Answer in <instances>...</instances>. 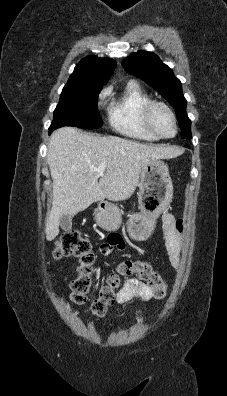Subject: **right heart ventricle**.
I'll use <instances>...</instances> for the list:
<instances>
[{
  "label": "right heart ventricle",
  "instance_id": "obj_1",
  "mask_svg": "<svg viewBox=\"0 0 227 396\" xmlns=\"http://www.w3.org/2000/svg\"><path fill=\"white\" fill-rule=\"evenodd\" d=\"M151 100L150 96L134 81L114 97L108 107L111 127L119 134L137 140L156 141L159 138L151 133L143 121V110Z\"/></svg>",
  "mask_w": 227,
  "mask_h": 396
}]
</instances>
